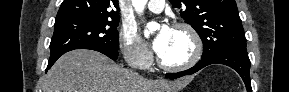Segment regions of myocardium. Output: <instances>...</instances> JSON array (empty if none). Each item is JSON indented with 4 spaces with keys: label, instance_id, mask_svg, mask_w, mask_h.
Listing matches in <instances>:
<instances>
[{
    "label": "myocardium",
    "instance_id": "1",
    "mask_svg": "<svg viewBox=\"0 0 289 92\" xmlns=\"http://www.w3.org/2000/svg\"><path fill=\"white\" fill-rule=\"evenodd\" d=\"M173 29L183 30L188 33L193 42V54L188 61L182 64H168L160 57V55L157 58V62L159 66L166 71H185L192 68L200 61L203 53V42L197 30L189 23L177 22L173 24Z\"/></svg>",
    "mask_w": 289,
    "mask_h": 92
}]
</instances>
